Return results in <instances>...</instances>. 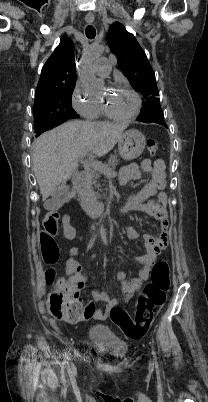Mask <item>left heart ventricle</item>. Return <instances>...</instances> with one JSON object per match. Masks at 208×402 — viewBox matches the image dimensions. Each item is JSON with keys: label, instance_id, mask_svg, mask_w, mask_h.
Wrapping results in <instances>:
<instances>
[{"label": "left heart ventricle", "instance_id": "b2bd125f", "mask_svg": "<svg viewBox=\"0 0 208 402\" xmlns=\"http://www.w3.org/2000/svg\"><path fill=\"white\" fill-rule=\"evenodd\" d=\"M103 85L98 89L96 96L101 94ZM106 100L109 102L114 111L119 114L127 115L134 111L136 107L135 97L124 90L117 89L112 95H106Z\"/></svg>", "mask_w": 208, "mask_h": 402}]
</instances>
